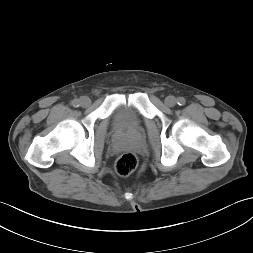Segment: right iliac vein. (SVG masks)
Returning a JSON list of instances; mask_svg holds the SVG:
<instances>
[{
  "mask_svg": "<svg viewBox=\"0 0 253 253\" xmlns=\"http://www.w3.org/2000/svg\"><path fill=\"white\" fill-rule=\"evenodd\" d=\"M79 101L82 107H88L91 104L90 98L86 96L82 97Z\"/></svg>",
  "mask_w": 253,
  "mask_h": 253,
  "instance_id": "1",
  "label": "right iliac vein"
}]
</instances>
